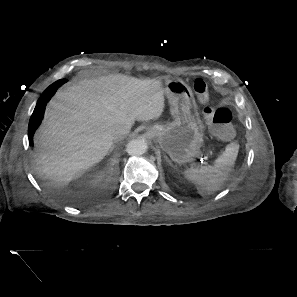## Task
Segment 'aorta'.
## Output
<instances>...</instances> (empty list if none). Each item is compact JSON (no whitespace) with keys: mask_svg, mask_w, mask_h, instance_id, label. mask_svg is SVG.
<instances>
[{"mask_svg":"<svg viewBox=\"0 0 297 297\" xmlns=\"http://www.w3.org/2000/svg\"><path fill=\"white\" fill-rule=\"evenodd\" d=\"M147 151V143L143 139H134L127 143L126 152L132 156H140Z\"/></svg>","mask_w":297,"mask_h":297,"instance_id":"aorta-1","label":"aorta"}]
</instances>
